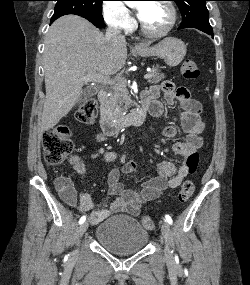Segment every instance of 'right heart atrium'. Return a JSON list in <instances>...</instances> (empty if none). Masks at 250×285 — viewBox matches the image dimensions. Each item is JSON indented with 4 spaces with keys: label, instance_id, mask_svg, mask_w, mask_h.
<instances>
[{
    "label": "right heart atrium",
    "instance_id": "1",
    "mask_svg": "<svg viewBox=\"0 0 250 285\" xmlns=\"http://www.w3.org/2000/svg\"><path fill=\"white\" fill-rule=\"evenodd\" d=\"M106 24L116 30L129 31L134 25V20L121 0H107L102 8Z\"/></svg>",
    "mask_w": 250,
    "mask_h": 285
}]
</instances>
